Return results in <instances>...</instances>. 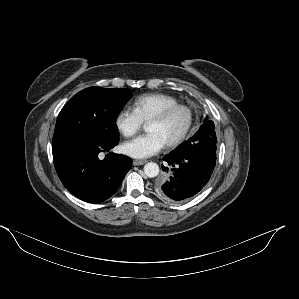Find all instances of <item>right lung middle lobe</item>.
<instances>
[{
  "label": "right lung middle lobe",
  "mask_w": 299,
  "mask_h": 299,
  "mask_svg": "<svg viewBox=\"0 0 299 299\" xmlns=\"http://www.w3.org/2000/svg\"><path fill=\"white\" fill-rule=\"evenodd\" d=\"M131 97L127 89L89 87L60 111L52 140L58 146L74 140L118 143L117 116Z\"/></svg>",
  "instance_id": "1"
}]
</instances>
